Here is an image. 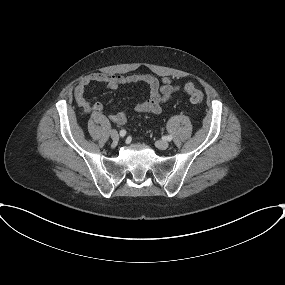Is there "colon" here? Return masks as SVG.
Returning a JSON list of instances; mask_svg holds the SVG:
<instances>
[{"label": "colon", "mask_w": 285, "mask_h": 285, "mask_svg": "<svg viewBox=\"0 0 285 285\" xmlns=\"http://www.w3.org/2000/svg\"><path fill=\"white\" fill-rule=\"evenodd\" d=\"M185 91L189 95L190 100L194 104H200L203 101V93L196 88L193 83H187L185 85Z\"/></svg>", "instance_id": "5ec220e1"}]
</instances>
